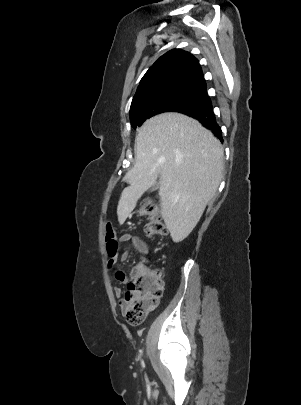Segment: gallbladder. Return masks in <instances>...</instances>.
<instances>
[{
    "label": "gallbladder",
    "instance_id": "obj_1",
    "mask_svg": "<svg viewBox=\"0 0 301 405\" xmlns=\"http://www.w3.org/2000/svg\"><path fill=\"white\" fill-rule=\"evenodd\" d=\"M158 187H159L158 183L154 184V185L151 187V191L157 190Z\"/></svg>",
    "mask_w": 301,
    "mask_h": 405
}]
</instances>
